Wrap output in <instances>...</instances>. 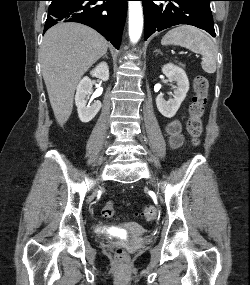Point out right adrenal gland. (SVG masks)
Returning <instances> with one entry per match:
<instances>
[{
    "instance_id": "2a0ac1e0",
    "label": "right adrenal gland",
    "mask_w": 250,
    "mask_h": 285,
    "mask_svg": "<svg viewBox=\"0 0 250 285\" xmlns=\"http://www.w3.org/2000/svg\"><path fill=\"white\" fill-rule=\"evenodd\" d=\"M105 58H108L107 54L104 55Z\"/></svg>"
}]
</instances>
